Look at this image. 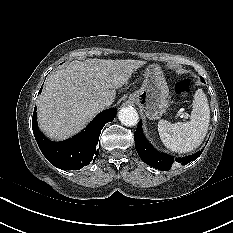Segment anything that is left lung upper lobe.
I'll list each match as a JSON object with an SVG mask.
<instances>
[{
  "instance_id": "5c2ea615",
  "label": "left lung upper lobe",
  "mask_w": 233,
  "mask_h": 233,
  "mask_svg": "<svg viewBox=\"0 0 233 233\" xmlns=\"http://www.w3.org/2000/svg\"><path fill=\"white\" fill-rule=\"evenodd\" d=\"M201 80L204 82V79L201 77Z\"/></svg>"
}]
</instances>
